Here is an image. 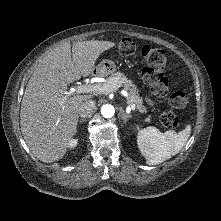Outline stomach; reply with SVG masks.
Masks as SVG:
<instances>
[{
	"label": "stomach",
	"instance_id": "stomach-1",
	"mask_svg": "<svg viewBox=\"0 0 221 221\" xmlns=\"http://www.w3.org/2000/svg\"><path fill=\"white\" fill-rule=\"evenodd\" d=\"M116 71V64L112 60L105 59L95 68L94 72L98 76H107Z\"/></svg>",
	"mask_w": 221,
	"mask_h": 221
}]
</instances>
